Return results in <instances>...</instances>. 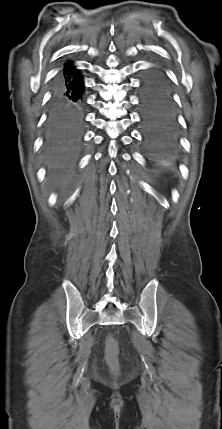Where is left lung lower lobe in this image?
Segmentation results:
<instances>
[{
  "mask_svg": "<svg viewBox=\"0 0 222 429\" xmlns=\"http://www.w3.org/2000/svg\"><path fill=\"white\" fill-rule=\"evenodd\" d=\"M139 104L146 148L154 154L168 153L178 140V124L173 91L160 69L144 75Z\"/></svg>",
  "mask_w": 222,
  "mask_h": 429,
  "instance_id": "left-lung-lower-lobe-1",
  "label": "left lung lower lobe"
}]
</instances>
